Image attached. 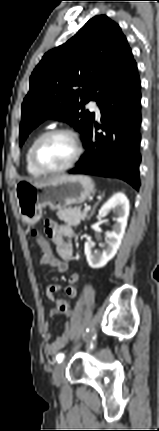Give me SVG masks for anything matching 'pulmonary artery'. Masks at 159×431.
I'll list each match as a JSON object with an SVG mask.
<instances>
[{"label": "pulmonary artery", "mask_w": 159, "mask_h": 431, "mask_svg": "<svg viewBox=\"0 0 159 431\" xmlns=\"http://www.w3.org/2000/svg\"><path fill=\"white\" fill-rule=\"evenodd\" d=\"M89 107L96 113L97 116L101 115L99 105L95 101H91L89 103Z\"/></svg>", "instance_id": "1"}]
</instances>
